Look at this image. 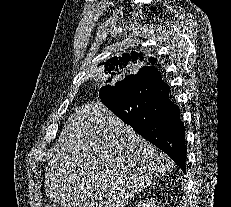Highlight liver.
<instances>
[{
	"label": "liver",
	"mask_w": 231,
	"mask_h": 207,
	"mask_svg": "<svg viewBox=\"0 0 231 207\" xmlns=\"http://www.w3.org/2000/svg\"><path fill=\"white\" fill-rule=\"evenodd\" d=\"M51 151L45 193L62 207H124L170 171L163 152L99 101L71 114Z\"/></svg>",
	"instance_id": "6515ba94"
}]
</instances>
